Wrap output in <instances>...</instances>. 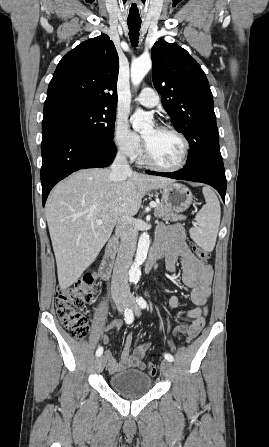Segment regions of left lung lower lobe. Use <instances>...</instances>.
Returning <instances> with one entry per match:
<instances>
[{
  "instance_id": "0a47b994",
  "label": "left lung lower lobe",
  "mask_w": 269,
  "mask_h": 447,
  "mask_svg": "<svg viewBox=\"0 0 269 447\" xmlns=\"http://www.w3.org/2000/svg\"><path fill=\"white\" fill-rule=\"evenodd\" d=\"M147 174L164 176L179 180L202 182L214 187L225 201L226 177L222 158L209 159L193 168H183L172 173L146 171Z\"/></svg>"
}]
</instances>
